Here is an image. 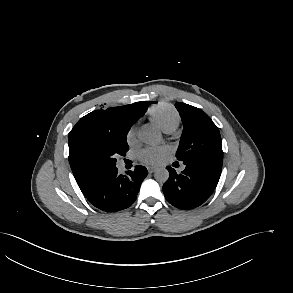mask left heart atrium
Masks as SVG:
<instances>
[{"instance_id": "39dd6f15", "label": "left heart atrium", "mask_w": 293, "mask_h": 293, "mask_svg": "<svg viewBox=\"0 0 293 293\" xmlns=\"http://www.w3.org/2000/svg\"><path fill=\"white\" fill-rule=\"evenodd\" d=\"M167 146L147 147L141 150L138 154L140 161L146 164H158L168 154Z\"/></svg>"}]
</instances>
